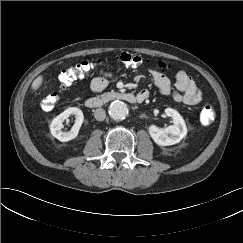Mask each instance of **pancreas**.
Here are the masks:
<instances>
[{
	"mask_svg": "<svg viewBox=\"0 0 243 243\" xmlns=\"http://www.w3.org/2000/svg\"><path fill=\"white\" fill-rule=\"evenodd\" d=\"M107 95H108V93H104V94H102V95H100L98 97L105 98Z\"/></svg>",
	"mask_w": 243,
	"mask_h": 243,
	"instance_id": "pancreas-1",
	"label": "pancreas"
}]
</instances>
